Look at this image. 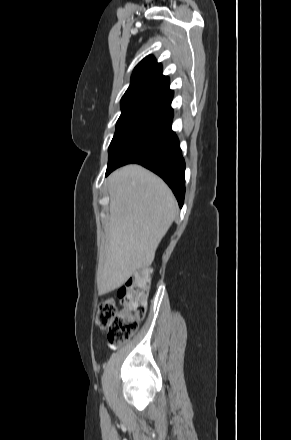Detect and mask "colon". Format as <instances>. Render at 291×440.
Segmentation results:
<instances>
[{"mask_svg": "<svg viewBox=\"0 0 291 440\" xmlns=\"http://www.w3.org/2000/svg\"><path fill=\"white\" fill-rule=\"evenodd\" d=\"M149 286V271L143 270L119 288V307L113 300H106L100 304L96 324L107 333L110 341L125 343L134 334L139 321L146 314L145 301Z\"/></svg>", "mask_w": 291, "mask_h": 440, "instance_id": "colon-1", "label": "colon"}]
</instances>
